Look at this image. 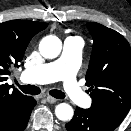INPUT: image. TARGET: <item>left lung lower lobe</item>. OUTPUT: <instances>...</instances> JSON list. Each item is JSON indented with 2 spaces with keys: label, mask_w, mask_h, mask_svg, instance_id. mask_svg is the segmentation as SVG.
<instances>
[{
  "label": "left lung lower lobe",
  "mask_w": 131,
  "mask_h": 131,
  "mask_svg": "<svg viewBox=\"0 0 131 131\" xmlns=\"http://www.w3.org/2000/svg\"><path fill=\"white\" fill-rule=\"evenodd\" d=\"M68 131H112L103 120L90 109L76 107L74 117L66 124Z\"/></svg>",
  "instance_id": "0a47b994"
}]
</instances>
